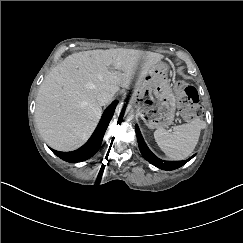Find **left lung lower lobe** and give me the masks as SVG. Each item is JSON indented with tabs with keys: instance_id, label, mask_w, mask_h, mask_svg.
<instances>
[{
	"instance_id": "obj_1",
	"label": "left lung lower lobe",
	"mask_w": 243,
	"mask_h": 243,
	"mask_svg": "<svg viewBox=\"0 0 243 243\" xmlns=\"http://www.w3.org/2000/svg\"><path fill=\"white\" fill-rule=\"evenodd\" d=\"M135 131L137 135L138 145L140 152L142 153L143 157L150 162L152 165L162 169V170H174L181 166H183L185 163H187L190 159H192L195 155L190 157L187 160L184 161H162L161 159L157 158L147 147L145 144L142 135L140 133V130L138 126H135Z\"/></svg>"
}]
</instances>
